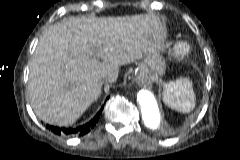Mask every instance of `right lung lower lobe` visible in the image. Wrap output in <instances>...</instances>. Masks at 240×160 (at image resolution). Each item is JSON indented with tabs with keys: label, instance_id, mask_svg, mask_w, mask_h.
<instances>
[{
	"label": "right lung lower lobe",
	"instance_id": "1",
	"mask_svg": "<svg viewBox=\"0 0 240 160\" xmlns=\"http://www.w3.org/2000/svg\"><path fill=\"white\" fill-rule=\"evenodd\" d=\"M102 109L103 107L100 109V111L96 114V116L90 120L88 123H86L85 125L79 126V127H55V126H51V125H46V127L51 130L53 133L57 134V135H85L86 133H88L91 129L94 128V126L96 125V123L99 120V117L102 113Z\"/></svg>",
	"mask_w": 240,
	"mask_h": 160
}]
</instances>
